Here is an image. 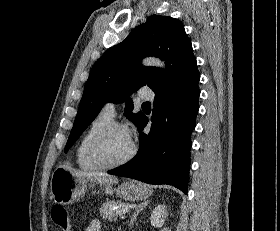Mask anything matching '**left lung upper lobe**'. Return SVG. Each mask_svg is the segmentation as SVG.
Here are the masks:
<instances>
[{"label": "left lung upper lobe", "mask_w": 280, "mask_h": 231, "mask_svg": "<svg viewBox=\"0 0 280 231\" xmlns=\"http://www.w3.org/2000/svg\"><path fill=\"white\" fill-rule=\"evenodd\" d=\"M146 56L160 57L167 69L144 67ZM197 68L191 41L181 22L171 17L150 16L120 44L108 49L92 67L65 152L96 118L107 102H126L124 115L135 125L142 112L132 113L129 96L147 85L154 92L178 81Z\"/></svg>", "instance_id": "1"}]
</instances>
